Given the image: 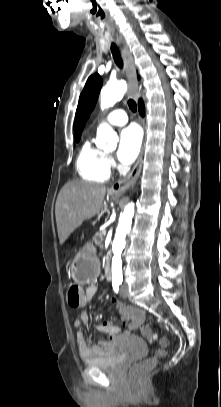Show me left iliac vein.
<instances>
[{
	"instance_id": "1",
	"label": "left iliac vein",
	"mask_w": 221,
	"mask_h": 407,
	"mask_svg": "<svg viewBox=\"0 0 221 407\" xmlns=\"http://www.w3.org/2000/svg\"><path fill=\"white\" fill-rule=\"evenodd\" d=\"M120 296L126 298L128 296V288L126 285H123L120 289Z\"/></svg>"
}]
</instances>
